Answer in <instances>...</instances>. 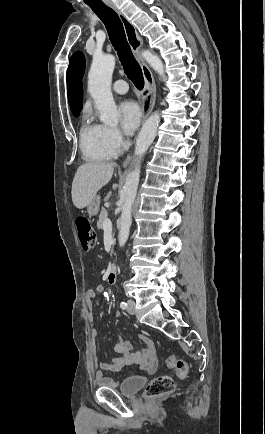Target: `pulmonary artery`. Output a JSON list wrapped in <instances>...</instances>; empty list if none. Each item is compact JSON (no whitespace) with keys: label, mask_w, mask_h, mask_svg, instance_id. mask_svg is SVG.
Returning <instances> with one entry per match:
<instances>
[{"label":"pulmonary artery","mask_w":265,"mask_h":434,"mask_svg":"<svg viewBox=\"0 0 265 434\" xmlns=\"http://www.w3.org/2000/svg\"><path fill=\"white\" fill-rule=\"evenodd\" d=\"M131 87V84L129 81H117L114 86L113 89L115 92L119 93V94H124L127 92V90H129Z\"/></svg>","instance_id":"pulmonary-artery-1"}]
</instances>
